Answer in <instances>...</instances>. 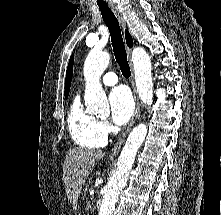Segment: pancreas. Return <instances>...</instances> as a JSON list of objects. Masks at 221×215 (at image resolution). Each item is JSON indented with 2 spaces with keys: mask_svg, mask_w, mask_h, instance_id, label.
I'll use <instances>...</instances> for the list:
<instances>
[{
  "mask_svg": "<svg viewBox=\"0 0 221 215\" xmlns=\"http://www.w3.org/2000/svg\"><path fill=\"white\" fill-rule=\"evenodd\" d=\"M88 190H89L88 186L83 189V199H86V209H88L90 205V202L88 201V197L86 195Z\"/></svg>",
  "mask_w": 221,
  "mask_h": 215,
  "instance_id": "obj_1",
  "label": "pancreas"
}]
</instances>
